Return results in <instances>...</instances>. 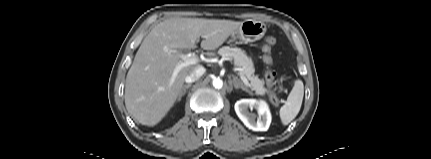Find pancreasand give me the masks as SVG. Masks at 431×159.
<instances>
[{
	"label": "pancreas",
	"mask_w": 431,
	"mask_h": 159,
	"mask_svg": "<svg viewBox=\"0 0 431 159\" xmlns=\"http://www.w3.org/2000/svg\"><path fill=\"white\" fill-rule=\"evenodd\" d=\"M218 53L223 58L234 60L235 65L241 69L239 74L244 75L250 81V88L252 91H255L256 95L264 96L266 93H270V91L264 87V80L254 75L255 69L253 62L242 49L224 46L219 49Z\"/></svg>",
	"instance_id": "obj_1"
}]
</instances>
